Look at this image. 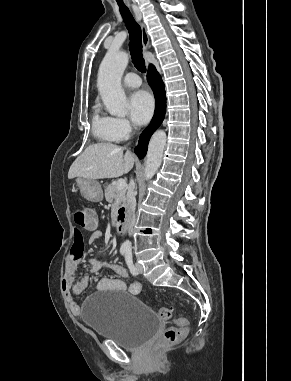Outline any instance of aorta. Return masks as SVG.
<instances>
[{
	"mask_svg": "<svg viewBox=\"0 0 291 381\" xmlns=\"http://www.w3.org/2000/svg\"><path fill=\"white\" fill-rule=\"evenodd\" d=\"M128 61L129 56L126 52L109 50L98 70V90L107 111L113 116L125 117L127 114V99L121 86V78ZM165 144V131H156L148 145L146 180H150L160 167ZM130 246L129 241L123 243V247L130 248Z\"/></svg>",
	"mask_w": 291,
	"mask_h": 381,
	"instance_id": "1",
	"label": "aorta"
}]
</instances>
